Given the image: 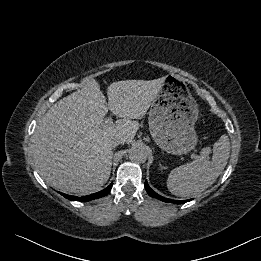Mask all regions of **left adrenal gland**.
Wrapping results in <instances>:
<instances>
[{
    "label": "left adrenal gland",
    "mask_w": 261,
    "mask_h": 261,
    "mask_svg": "<svg viewBox=\"0 0 261 261\" xmlns=\"http://www.w3.org/2000/svg\"><path fill=\"white\" fill-rule=\"evenodd\" d=\"M160 168H161V169H164L165 167H163V166L160 164Z\"/></svg>",
    "instance_id": "1"
}]
</instances>
